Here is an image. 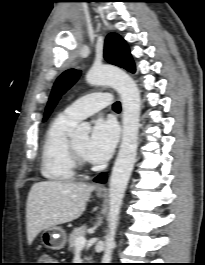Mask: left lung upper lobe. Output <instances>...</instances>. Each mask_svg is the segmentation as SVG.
Wrapping results in <instances>:
<instances>
[{
    "label": "left lung upper lobe",
    "instance_id": "obj_1",
    "mask_svg": "<svg viewBox=\"0 0 205 265\" xmlns=\"http://www.w3.org/2000/svg\"><path fill=\"white\" fill-rule=\"evenodd\" d=\"M104 58L113 65L135 72L129 48L124 39L116 33H110L106 38ZM80 74V70L69 69L57 78L45 110L44 121L49 117L60 97L78 80Z\"/></svg>",
    "mask_w": 205,
    "mask_h": 265
}]
</instances>
